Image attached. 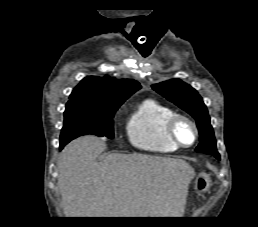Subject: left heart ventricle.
I'll list each match as a JSON object with an SVG mask.
<instances>
[{"instance_id":"1","label":"left heart ventricle","mask_w":258,"mask_h":227,"mask_svg":"<svg viewBox=\"0 0 258 227\" xmlns=\"http://www.w3.org/2000/svg\"><path fill=\"white\" fill-rule=\"evenodd\" d=\"M177 136L184 144H190L194 138L192 127L187 122H179L177 126Z\"/></svg>"}]
</instances>
